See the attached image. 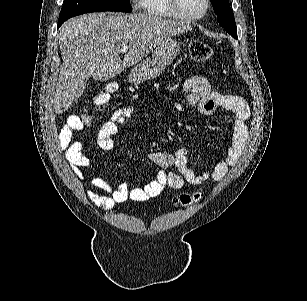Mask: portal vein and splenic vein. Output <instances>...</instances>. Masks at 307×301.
<instances>
[{
	"instance_id": "obj_1",
	"label": "portal vein and splenic vein",
	"mask_w": 307,
	"mask_h": 301,
	"mask_svg": "<svg viewBox=\"0 0 307 301\" xmlns=\"http://www.w3.org/2000/svg\"><path fill=\"white\" fill-rule=\"evenodd\" d=\"M120 52H128V46H120Z\"/></svg>"
}]
</instances>
